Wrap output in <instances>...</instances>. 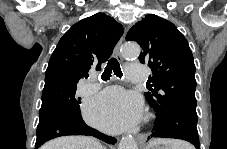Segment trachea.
<instances>
[{"mask_svg": "<svg viewBox=\"0 0 227 149\" xmlns=\"http://www.w3.org/2000/svg\"><path fill=\"white\" fill-rule=\"evenodd\" d=\"M112 72L119 78L123 76L120 64L115 58H111L107 63V66L101 75L102 80L107 81L111 77Z\"/></svg>", "mask_w": 227, "mask_h": 149, "instance_id": "3493384b", "label": "trachea"}]
</instances>
